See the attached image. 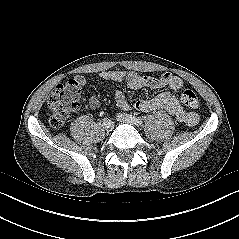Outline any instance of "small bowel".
Wrapping results in <instances>:
<instances>
[{
  "mask_svg": "<svg viewBox=\"0 0 239 239\" xmlns=\"http://www.w3.org/2000/svg\"><path fill=\"white\" fill-rule=\"evenodd\" d=\"M99 77L105 82L125 81L129 88L135 90L142 88H169L173 91H178L183 87L182 78L171 73H164L159 77H152L135 72L109 70L101 72ZM75 80L82 86L87 84V79L83 76H77ZM114 96L116 105L123 110L135 108L138 111L149 113L164 109L177 121L186 126H194L199 121V116L196 112L183 109L178 99L168 91L161 92L152 99L137 100L135 102H130L119 89H114ZM88 104L91 109H97L100 106V101L96 96H92L89 98Z\"/></svg>",
  "mask_w": 239,
  "mask_h": 239,
  "instance_id": "c3829d8e",
  "label": "small bowel"
}]
</instances>
